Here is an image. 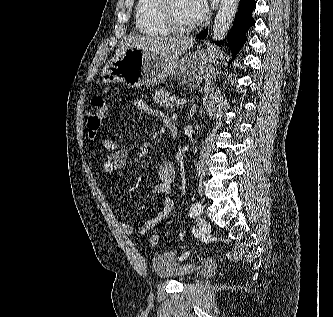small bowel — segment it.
<instances>
[{"mask_svg": "<svg viewBox=\"0 0 333 317\" xmlns=\"http://www.w3.org/2000/svg\"><path fill=\"white\" fill-rule=\"evenodd\" d=\"M132 107L134 110L140 113H147L153 117L158 118L166 126L170 120L162 112L149 108L148 104L142 99H135L132 101ZM102 147L108 151V155L102 165V173L105 176L113 174L116 170L122 169L128 161V150L122 147L118 141L111 138H103L101 140ZM159 181L153 187L152 193L157 195H163V205L161 210L152 218L146 220L138 229L129 223L122 222L120 224L121 229L126 234H134L136 232L144 234L159 223L166 220L173 211L174 201L171 198L173 191V184L176 178V172L174 165L171 161L162 162L157 169Z\"/></svg>", "mask_w": 333, "mask_h": 317, "instance_id": "c3829d8e", "label": "small bowel"}]
</instances>
